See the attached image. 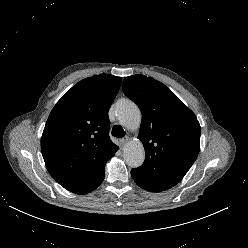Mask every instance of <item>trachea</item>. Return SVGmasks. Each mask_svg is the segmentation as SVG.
Returning a JSON list of instances; mask_svg holds the SVG:
<instances>
[{
    "mask_svg": "<svg viewBox=\"0 0 248 248\" xmlns=\"http://www.w3.org/2000/svg\"><path fill=\"white\" fill-rule=\"evenodd\" d=\"M112 135L117 138H122L125 136V131L121 125H114L112 128Z\"/></svg>",
    "mask_w": 248,
    "mask_h": 248,
    "instance_id": "3493384b",
    "label": "trachea"
}]
</instances>
